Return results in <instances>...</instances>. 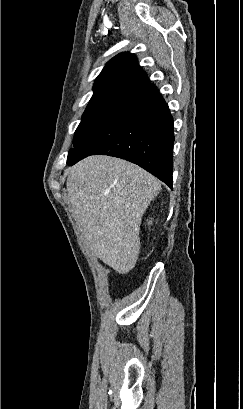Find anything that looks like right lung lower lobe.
<instances>
[{
    "label": "right lung lower lobe",
    "mask_w": 243,
    "mask_h": 409,
    "mask_svg": "<svg viewBox=\"0 0 243 409\" xmlns=\"http://www.w3.org/2000/svg\"><path fill=\"white\" fill-rule=\"evenodd\" d=\"M173 118L153 84L124 100L96 131L68 156L74 165L90 155L133 162L172 188Z\"/></svg>",
    "instance_id": "98d812e1"
}]
</instances>
